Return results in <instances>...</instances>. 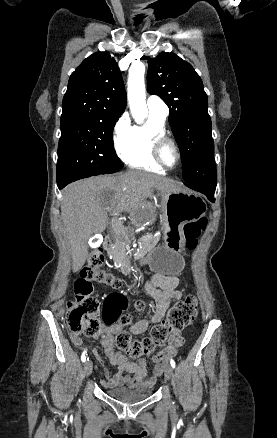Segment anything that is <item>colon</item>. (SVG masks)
<instances>
[{"label":"colon","mask_w":277,"mask_h":438,"mask_svg":"<svg viewBox=\"0 0 277 438\" xmlns=\"http://www.w3.org/2000/svg\"><path fill=\"white\" fill-rule=\"evenodd\" d=\"M207 225L205 217L191 223H187L184 228V236L187 240V246L193 249L196 246L197 239ZM104 251L101 247L93 249L87 259L86 266L82 269L79 279L77 280L75 295L76 299L70 302L67 309V319L72 330L82 331L86 335L94 336L104 334V322L100 311L99 302L96 296H91L92 284L112 286L114 284L123 285V281L116 275L108 272L103 267ZM145 307L143 301L136 303V308L142 310ZM198 311V303L194 297H186L178 301L175 306L167 311L165 319L159 324L154 325L150 332L142 338H133L127 331H120L114 335L116 347L121 351L128 353L132 358L141 356H150L158 349L163 348L170 336L173 338L176 346H182L184 343L183 336L179 335L180 331L187 327L195 319ZM131 316L125 313L119 315V323L123 326L129 324ZM154 362H161L164 359L163 354L153 356Z\"/></svg>","instance_id":"5ec220e1"}]
</instances>
